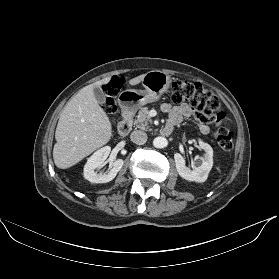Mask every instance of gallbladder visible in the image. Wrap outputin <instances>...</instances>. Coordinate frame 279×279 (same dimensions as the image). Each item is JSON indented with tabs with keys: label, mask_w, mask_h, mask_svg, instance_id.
<instances>
[{
	"label": "gallbladder",
	"mask_w": 279,
	"mask_h": 279,
	"mask_svg": "<svg viewBox=\"0 0 279 279\" xmlns=\"http://www.w3.org/2000/svg\"><path fill=\"white\" fill-rule=\"evenodd\" d=\"M93 92L97 102L100 104H104L106 101V94L104 93V91L100 87L96 86L94 87Z\"/></svg>",
	"instance_id": "1"
}]
</instances>
